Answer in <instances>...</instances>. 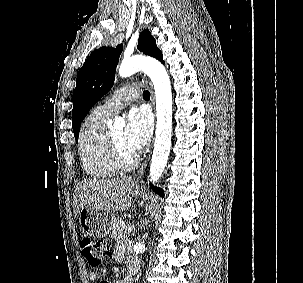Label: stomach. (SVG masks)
Wrapping results in <instances>:
<instances>
[{"mask_svg":"<svg viewBox=\"0 0 303 283\" xmlns=\"http://www.w3.org/2000/svg\"><path fill=\"white\" fill-rule=\"evenodd\" d=\"M132 194H140L138 187L133 188ZM79 222L84 234L103 238L111 231L114 215L112 212L84 206L79 211Z\"/></svg>","mask_w":303,"mask_h":283,"instance_id":"obj_1","label":"stomach"}]
</instances>
